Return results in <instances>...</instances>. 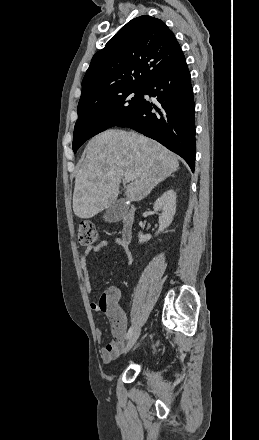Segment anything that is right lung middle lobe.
<instances>
[{
  "mask_svg": "<svg viewBox=\"0 0 259 440\" xmlns=\"http://www.w3.org/2000/svg\"><path fill=\"white\" fill-rule=\"evenodd\" d=\"M147 88L121 90L78 109L73 151L89 138L129 118L141 105Z\"/></svg>",
  "mask_w": 259,
  "mask_h": 440,
  "instance_id": "1",
  "label": "right lung middle lobe"
}]
</instances>
